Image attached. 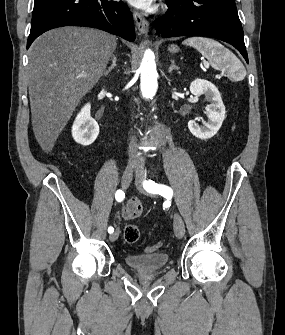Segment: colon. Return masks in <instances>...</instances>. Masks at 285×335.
Masks as SVG:
<instances>
[{
	"instance_id": "colon-1",
	"label": "colon",
	"mask_w": 285,
	"mask_h": 335,
	"mask_svg": "<svg viewBox=\"0 0 285 335\" xmlns=\"http://www.w3.org/2000/svg\"><path fill=\"white\" fill-rule=\"evenodd\" d=\"M123 236H124V240L127 243H135L139 240V237H140L139 228L134 224H129L125 227ZM160 246H161V243H157L155 245L147 247L146 251L153 252L157 250L158 248H160Z\"/></svg>"
}]
</instances>
